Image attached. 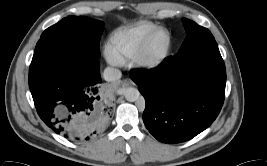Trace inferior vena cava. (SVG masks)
Listing matches in <instances>:
<instances>
[{"label": "inferior vena cava", "instance_id": "obj_1", "mask_svg": "<svg viewBox=\"0 0 267 166\" xmlns=\"http://www.w3.org/2000/svg\"><path fill=\"white\" fill-rule=\"evenodd\" d=\"M121 71L117 68L106 67L103 72V77L106 81H115L121 78Z\"/></svg>", "mask_w": 267, "mask_h": 166}]
</instances>
